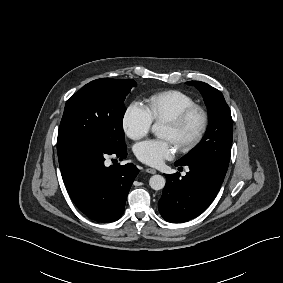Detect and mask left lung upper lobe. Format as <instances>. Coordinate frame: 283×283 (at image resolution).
Here are the masks:
<instances>
[{"instance_id": "left-lung-upper-lobe-1", "label": "left lung upper lobe", "mask_w": 283, "mask_h": 283, "mask_svg": "<svg viewBox=\"0 0 283 283\" xmlns=\"http://www.w3.org/2000/svg\"><path fill=\"white\" fill-rule=\"evenodd\" d=\"M202 94L208 108L209 126L201 143L191 153L177 161L181 165L207 164L226 173L232 145L230 109L216 88L200 81H189Z\"/></svg>"}]
</instances>
